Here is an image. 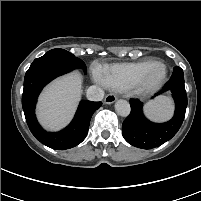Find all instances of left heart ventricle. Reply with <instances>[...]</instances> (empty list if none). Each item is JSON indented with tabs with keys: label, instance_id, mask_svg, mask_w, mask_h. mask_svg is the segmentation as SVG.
<instances>
[{
	"label": "left heart ventricle",
	"instance_id": "left-heart-ventricle-1",
	"mask_svg": "<svg viewBox=\"0 0 201 201\" xmlns=\"http://www.w3.org/2000/svg\"><path fill=\"white\" fill-rule=\"evenodd\" d=\"M161 72H162L161 68L159 67L156 68L152 73V79L156 80L161 75Z\"/></svg>",
	"mask_w": 201,
	"mask_h": 201
}]
</instances>
